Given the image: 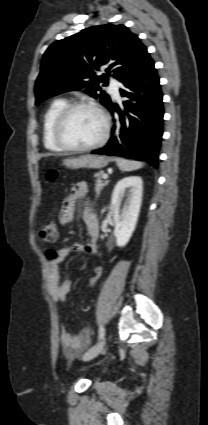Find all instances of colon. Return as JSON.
I'll return each mask as SVG.
<instances>
[{
  "mask_svg": "<svg viewBox=\"0 0 208 425\" xmlns=\"http://www.w3.org/2000/svg\"><path fill=\"white\" fill-rule=\"evenodd\" d=\"M58 171L55 169H51L47 171L46 178L49 182H54L58 178ZM40 237L43 241L47 243H54L58 239V227L57 224L54 221H47L44 223L41 231H40ZM49 256L54 258L56 257L57 253L55 251H49ZM104 275V271L102 268H95L93 269L90 274L88 275L86 279V286L90 288H94L99 285V283L102 281Z\"/></svg>",
  "mask_w": 208,
  "mask_h": 425,
  "instance_id": "1",
  "label": "colon"
}]
</instances>
